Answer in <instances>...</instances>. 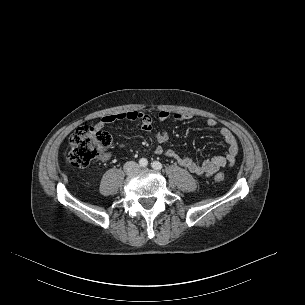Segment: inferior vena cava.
Returning a JSON list of instances; mask_svg holds the SVG:
<instances>
[{"instance_id": "602c4592", "label": "inferior vena cava", "mask_w": 305, "mask_h": 305, "mask_svg": "<svg viewBox=\"0 0 305 305\" xmlns=\"http://www.w3.org/2000/svg\"><path fill=\"white\" fill-rule=\"evenodd\" d=\"M139 168V165L134 161L126 162L124 165V169L126 172H134Z\"/></svg>"}]
</instances>
